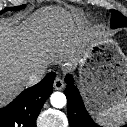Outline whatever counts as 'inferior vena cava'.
<instances>
[{
    "label": "inferior vena cava",
    "instance_id": "1",
    "mask_svg": "<svg viewBox=\"0 0 127 127\" xmlns=\"http://www.w3.org/2000/svg\"><path fill=\"white\" fill-rule=\"evenodd\" d=\"M45 75H46V68L45 67L38 68L35 72H33L29 76L28 85L32 86V85L37 84L39 81L43 79Z\"/></svg>",
    "mask_w": 127,
    "mask_h": 127
}]
</instances>
